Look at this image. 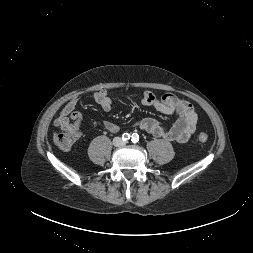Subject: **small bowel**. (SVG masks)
<instances>
[{"mask_svg":"<svg viewBox=\"0 0 253 253\" xmlns=\"http://www.w3.org/2000/svg\"><path fill=\"white\" fill-rule=\"evenodd\" d=\"M93 99L103 111L110 112L112 103L106 90L94 93ZM78 101V96L71 98L60 110L54 121L56 127L73 134L74 143L80 137L79 129L83 122L82 114L76 110ZM140 102L145 106L154 107L163 114L177 115V120L169 128L162 127L153 118H141L135 123L141 130L155 137L177 143H186L195 132L198 120L197 114L190 103L178 96L171 93L157 96L151 91H145L140 97ZM101 125L111 133L119 130V127L112 122L106 121L101 123Z\"/></svg>","mask_w":253,"mask_h":253,"instance_id":"obj_1","label":"small bowel"}]
</instances>
